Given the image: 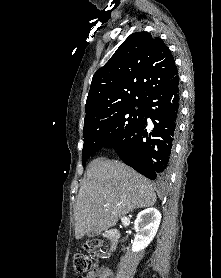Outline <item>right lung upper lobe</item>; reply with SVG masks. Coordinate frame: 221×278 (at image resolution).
I'll use <instances>...</instances> for the list:
<instances>
[{"label":"right lung upper lobe","instance_id":"right-lung-upper-lobe-1","mask_svg":"<svg viewBox=\"0 0 221 278\" xmlns=\"http://www.w3.org/2000/svg\"><path fill=\"white\" fill-rule=\"evenodd\" d=\"M178 74L169 48L148 32L131 34L92 78L85 122L139 102Z\"/></svg>","mask_w":221,"mask_h":278}]
</instances>
